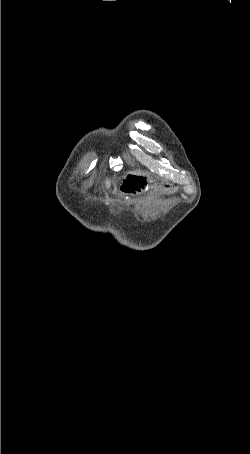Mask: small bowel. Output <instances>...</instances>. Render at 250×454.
<instances>
[{
	"label": "small bowel",
	"instance_id": "obj_1",
	"mask_svg": "<svg viewBox=\"0 0 250 454\" xmlns=\"http://www.w3.org/2000/svg\"><path fill=\"white\" fill-rule=\"evenodd\" d=\"M150 188L151 186L145 178L132 175L123 181L121 192L124 194H136Z\"/></svg>",
	"mask_w": 250,
	"mask_h": 454
}]
</instances>
